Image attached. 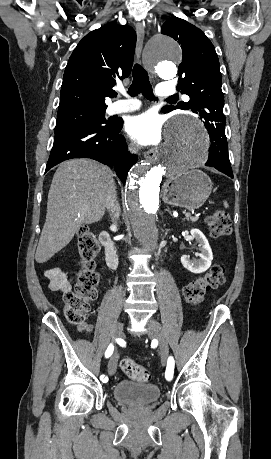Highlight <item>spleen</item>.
<instances>
[{
    "instance_id": "3e777b00",
    "label": "spleen",
    "mask_w": 271,
    "mask_h": 459,
    "mask_svg": "<svg viewBox=\"0 0 271 459\" xmlns=\"http://www.w3.org/2000/svg\"><path fill=\"white\" fill-rule=\"evenodd\" d=\"M224 208H228L227 202H224Z\"/></svg>"
}]
</instances>
